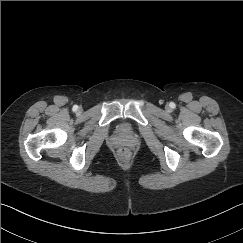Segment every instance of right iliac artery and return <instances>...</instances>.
Here are the masks:
<instances>
[{"instance_id":"1","label":"right iliac artery","mask_w":243,"mask_h":243,"mask_svg":"<svg viewBox=\"0 0 243 243\" xmlns=\"http://www.w3.org/2000/svg\"><path fill=\"white\" fill-rule=\"evenodd\" d=\"M78 109V106L77 105H74L73 106V111H76Z\"/></svg>"}]
</instances>
